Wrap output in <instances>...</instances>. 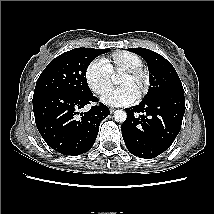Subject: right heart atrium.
Masks as SVG:
<instances>
[{
  "instance_id": "d8ad5b80",
  "label": "right heart atrium",
  "mask_w": 214,
  "mask_h": 214,
  "mask_svg": "<svg viewBox=\"0 0 214 214\" xmlns=\"http://www.w3.org/2000/svg\"><path fill=\"white\" fill-rule=\"evenodd\" d=\"M85 80L91 91L103 95L112 85V74L103 59H95L86 67Z\"/></svg>"
}]
</instances>
